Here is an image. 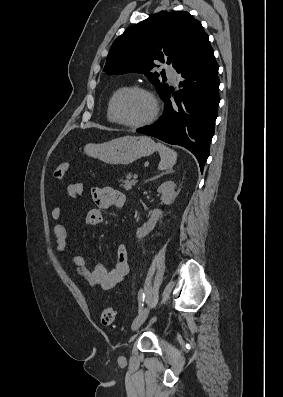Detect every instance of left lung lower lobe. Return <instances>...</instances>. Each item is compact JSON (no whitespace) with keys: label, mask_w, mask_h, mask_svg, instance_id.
<instances>
[{"label":"left lung lower lobe","mask_w":283,"mask_h":397,"mask_svg":"<svg viewBox=\"0 0 283 397\" xmlns=\"http://www.w3.org/2000/svg\"><path fill=\"white\" fill-rule=\"evenodd\" d=\"M218 64L211 45L179 67L180 90L165 91V111L152 125L137 132L180 145L197 158L201 171L209 156L219 98ZM171 95L174 101L170 100Z\"/></svg>","instance_id":"0a47b994"}]
</instances>
